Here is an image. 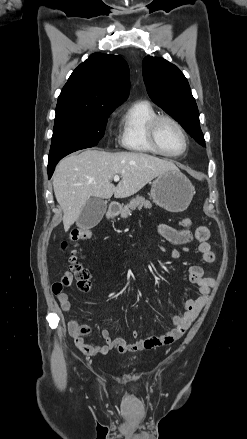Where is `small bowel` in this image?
I'll list each match as a JSON object with an SVG mask.
<instances>
[{
	"label": "small bowel",
	"instance_id": "1",
	"mask_svg": "<svg viewBox=\"0 0 247 439\" xmlns=\"http://www.w3.org/2000/svg\"><path fill=\"white\" fill-rule=\"evenodd\" d=\"M158 232L165 240L173 245H185L195 238L198 241L197 250L203 262L212 263L216 259V253L211 249L209 243L210 231L207 227L200 226L193 234L186 229H177L167 224H159ZM170 256L173 259H177L181 256V252L180 250L174 249ZM188 279L196 286L201 296L196 299H188L184 304V312L181 315L176 314L171 317L173 327L161 335L141 338L138 331L133 330L132 337L136 340L134 342H128L123 338H112L108 330L102 329L100 335L105 344L96 345L85 340V336L92 331V327L79 324L75 318L68 320V332L74 339L76 346L88 356L106 355L112 349H116L119 353H124L128 351L150 350L170 345L183 336L190 324L204 308L214 285V279L212 277H205L204 270L200 265H192L189 268ZM72 280V274L66 272L60 281L52 285V291L57 297L60 308L66 314L72 313V306L68 295L63 290L72 283Z\"/></svg>",
	"mask_w": 247,
	"mask_h": 439
}]
</instances>
